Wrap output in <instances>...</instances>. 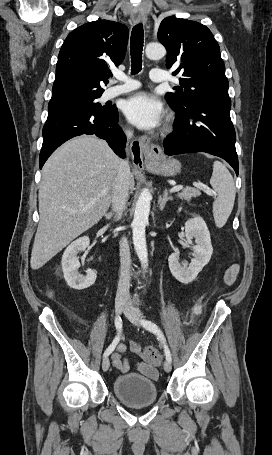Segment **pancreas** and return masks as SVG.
<instances>
[{"label":"pancreas","instance_id":"pancreas-1","mask_svg":"<svg viewBox=\"0 0 272 455\" xmlns=\"http://www.w3.org/2000/svg\"><path fill=\"white\" fill-rule=\"evenodd\" d=\"M201 195V191L199 188H192V187H186L185 189L182 190L181 193H178V197L180 199H184L186 201H191L193 198H196Z\"/></svg>","mask_w":272,"mask_h":455}]
</instances>
